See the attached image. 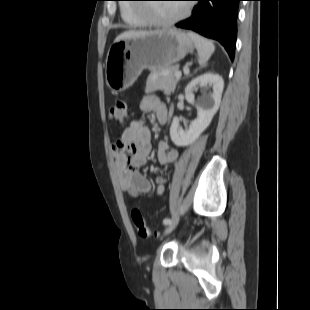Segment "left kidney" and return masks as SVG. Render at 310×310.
I'll use <instances>...</instances> for the list:
<instances>
[{
    "mask_svg": "<svg viewBox=\"0 0 310 310\" xmlns=\"http://www.w3.org/2000/svg\"><path fill=\"white\" fill-rule=\"evenodd\" d=\"M211 85L213 92L205 94L201 97L197 106V118L193 120L189 127L185 123L186 129L180 126L178 117H174L170 127V137L176 146H188L192 144L201 133L210 125L213 116L217 112L220 103L222 92L224 89L223 78L217 74L205 73L193 79L185 88L186 100L194 105L193 90L200 87Z\"/></svg>",
    "mask_w": 310,
    "mask_h": 310,
    "instance_id": "1",
    "label": "left kidney"
}]
</instances>
